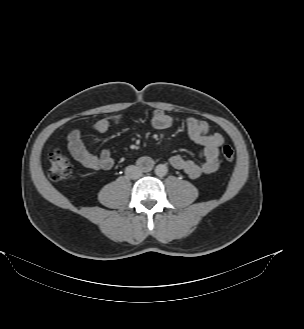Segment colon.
I'll return each instance as SVG.
<instances>
[{
    "label": "colon",
    "mask_w": 304,
    "mask_h": 329,
    "mask_svg": "<svg viewBox=\"0 0 304 329\" xmlns=\"http://www.w3.org/2000/svg\"><path fill=\"white\" fill-rule=\"evenodd\" d=\"M222 156L225 160L231 161L234 159L235 152L232 146L224 145L222 147ZM49 177L51 180L60 182L67 181L73 178L74 173L69 159L55 148L49 156Z\"/></svg>",
    "instance_id": "1"
}]
</instances>
